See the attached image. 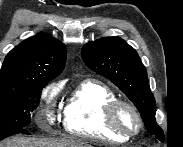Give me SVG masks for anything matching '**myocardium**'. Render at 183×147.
Wrapping results in <instances>:
<instances>
[{"instance_id":"1","label":"myocardium","mask_w":183,"mask_h":147,"mask_svg":"<svg viewBox=\"0 0 183 147\" xmlns=\"http://www.w3.org/2000/svg\"><path fill=\"white\" fill-rule=\"evenodd\" d=\"M121 107L128 108L135 115L137 119V128L135 130L128 131L118 123L117 113ZM104 121L109 129L128 138L138 135L144 126L142 116L137 107L132 103L121 99H115L106 105L104 109Z\"/></svg>"}]
</instances>
